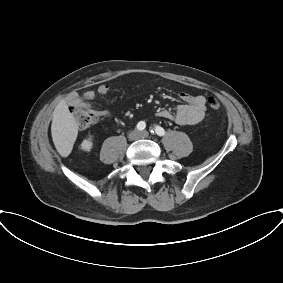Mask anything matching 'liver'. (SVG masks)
I'll use <instances>...</instances> for the list:
<instances>
[{"label":"liver","instance_id":"obj_1","mask_svg":"<svg viewBox=\"0 0 283 283\" xmlns=\"http://www.w3.org/2000/svg\"><path fill=\"white\" fill-rule=\"evenodd\" d=\"M51 134L53 143L62 157H67L78 135V125L65 101H60L53 111Z\"/></svg>","mask_w":283,"mask_h":283}]
</instances>
